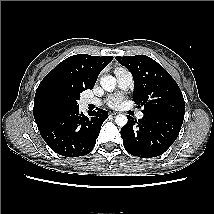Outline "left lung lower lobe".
I'll return each mask as SVG.
<instances>
[{
  "mask_svg": "<svg viewBox=\"0 0 214 214\" xmlns=\"http://www.w3.org/2000/svg\"><path fill=\"white\" fill-rule=\"evenodd\" d=\"M183 120L160 115H144L140 120L128 117L121 129L127 152L142 158L162 155L179 135Z\"/></svg>",
  "mask_w": 214,
  "mask_h": 214,
  "instance_id": "0a47b994",
  "label": "left lung lower lobe"
}]
</instances>
